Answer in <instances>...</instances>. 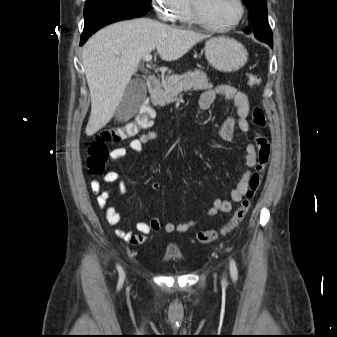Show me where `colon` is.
<instances>
[{
    "label": "colon",
    "mask_w": 337,
    "mask_h": 337,
    "mask_svg": "<svg viewBox=\"0 0 337 337\" xmlns=\"http://www.w3.org/2000/svg\"><path fill=\"white\" fill-rule=\"evenodd\" d=\"M247 81L251 87H258L260 85V77L254 73L248 74ZM140 104L143 108L135 121L103 130L88 144L86 163L88 170L92 175H98L104 169L105 162L108 158L107 143L120 142L135 137L141 130L150 127L151 119L158 118V113L153 112L150 108L153 104L152 100H141ZM251 122L257 129L266 126V117L260 107L253 108ZM254 142L257 147V163L255 171L249 178L248 188L244 199L234 211L228 222L219 229H209L198 232L196 239L199 243H210L218 237L232 232L248 214L252 201L261 185L271 152L270 143L261 131L257 130L255 132Z\"/></svg>",
    "instance_id": "1"
}]
</instances>
